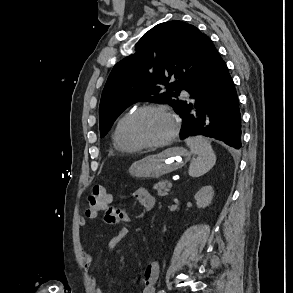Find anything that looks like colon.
<instances>
[{"mask_svg":"<svg viewBox=\"0 0 293 293\" xmlns=\"http://www.w3.org/2000/svg\"><path fill=\"white\" fill-rule=\"evenodd\" d=\"M111 197L105 184L96 185L87 199L86 213L93 217L108 209Z\"/></svg>","mask_w":293,"mask_h":293,"instance_id":"5ec220e1","label":"colon"}]
</instances>
